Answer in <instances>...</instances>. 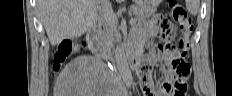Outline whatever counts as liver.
I'll return each instance as SVG.
<instances>
[{
  "instance_id": "1",
  "label": "liver",
  "mask_w": 232,
  "mask_h": 96,
  "mask_svg": "<svg viewBox=\"0 0 232 96\" xmlns=\"http://www.w3.org/2000/svg\"><path fill=\"white\" fill-rule=\"evenodd\" d=\"M98 0H37V11L51 45L80 37L97 21Z\"/></svg>"
}]
</instances>
